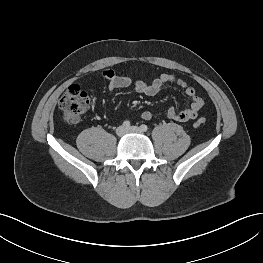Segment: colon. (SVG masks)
<instances>
[{"label":"colon","mask_w":263,"mask_h":263,"mask_svg":"<svg viewBox=\"0 0 263 263\" xmlns=\"http://www.w3.org/2000/svg\"><path fill=\"white\" fill-rule=\"evenodd\" d=\"M90 106L88 93L80 86L69 87L59 101V109L62 112L64 120L69 124H77ZM204 124L203 119L195 122V126Z\"/></svg>","instance_id":"colon-1"}]
</instances>
